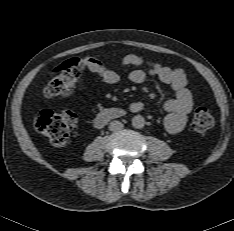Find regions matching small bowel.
Masks as SVG:
<instances>
[{
	"label": "small bowel",
	"instance_id": "obj_1",
	"mask_svg": "<svg viewBox=\"0 0 234 231\" xmlns=\"http://www.w3.org/2000/svg\"><path fill=\"white\" fill-rule=\"evenodd\" d=\"M89 69L108 85H115L120 77L110 67L102 64L95 58L86 59ZM121 63L125 66H146L147 71L134 69L129 73V79L133 83H143L148 75L154 76L162 83L170 86L175 92V98L167 99L162 103V108L167 112L163 119L165 129L170 134H179L184 129L188 114L193 107V98L187 87V77L182 69L170 68L160 63L151 61L141 55L129 54L122 58ZM145 108L142 101H134L129 109L132 112H140Z\"/></svg>",
	"mask_w": 234,
	"mask_h": 231
}]
</instances>
